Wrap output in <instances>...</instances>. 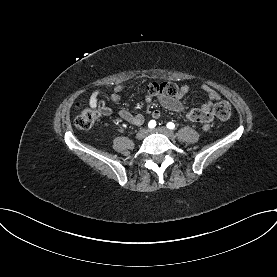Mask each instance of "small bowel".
I'll return each mask as SVG.
<instances>
[{"mask_svg": "<svg viewBox=\"0 0 277 277\" xmlns=\"http://www.w3.org/2000/svg\"><path fill=\"white\" fill-rule=\"evenodd\" d=\"M201 89L207 94L208 101L203 104L199 109H188L181 102L182 97L187 94L190 90L189 85H183L178 90L177 94L174 96H158L159 103L166 109L181 113L187 119L191 121L201 122L203 123V129H208L210 123L212 121V107L215 101L220 100L219 93L209 86L208 84H202ZM124 90L123 85H117L114 87L113 91L110 94V100L112 102H119L121 99V93ZM100 90H95L90 96L89 105L93 109H99V111L105 115L110 116L114 113L113 109L109 106L105 105V103L100 99ZM151 102V97H145V103L149 104ZM118 115L120 118L125 120L126 122L140 126L144 123V116L140 113L132 114L126 109H120L118 111ZM161 116V112L159 110H154L152 112L153 119H159Z\"/></svg>", "mask_w": 277, "mask_h": 277, "instance_id": "small-bowel-1", "label": "small bowel"}]
</instances>
